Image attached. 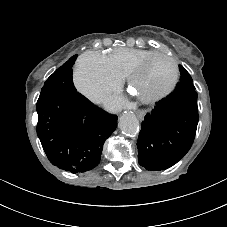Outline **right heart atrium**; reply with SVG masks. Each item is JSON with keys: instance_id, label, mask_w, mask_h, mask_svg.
Masks as SVG:
<instances>
[{"instance_id": "obj_1", "label": "right heart atrium", "mask_w": 227, "mask_h": 227, "mask_svg": "<svg viewBox=\"0 0 227 227\" xmlns=\"http://www.w3.org/2000/svg\"><path fill=\"white\" fill-rule=\"evenodd\" d=\"M74 81L85 96L94 102H100L119 89L122 78L113 71L106 55L88 51L77 62Z\"/></svg>"}]
</instances>
